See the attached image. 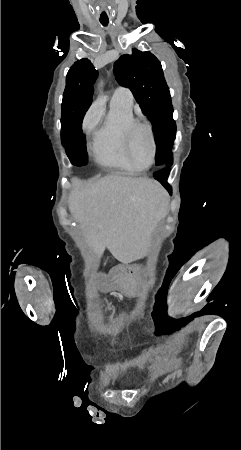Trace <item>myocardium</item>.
I'll list each match as a JSON object with an SVG mask.
<instances>
[{
  "label": "myocardium",
  "mask_w": 241,
  "mask_h": 450,
  "mask_svg": "<svg viewBox=\"0 0 241 450\" xmlns=\"http://www.w3.org/2000/svg\"><path fill=\"white\" fill-rule=\"evenodd\" d=\"M142 117L141 116H136V120L132 119L128 122H126L123 127H122V133L124 134V136L122 137V142L124 143V148H123V153H128L129 157H128V162H135L136 161V156L134 155V151L131 148V145L133 143L134 140H138L136 137L139 134L138 129H136L135 127H146L148 125V127H153V122H148V124L146 122H138L141 121ZM145 135H149L150 137H146L144 140V144L147 145V149L150 150V156L152 157V162H157V150L156 148H154V138L155 137V132L153 130H145L144 131Z\"/></svg>",
  "instance_id": "1"
}]
</instances>
